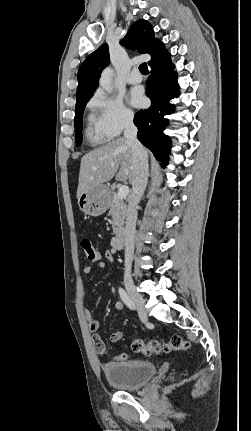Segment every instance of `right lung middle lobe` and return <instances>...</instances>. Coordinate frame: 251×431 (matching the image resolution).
I'll return each mask as SVG.
<instances>
[{
  "label": "right lung middle lobe",
  "mask_w": 251,
  "mask_h": 431,
  "mask_svg": "<svg viewBox=\"0 0 251 431\" xmlns=\"http://www.w3.org/2000/svg\"><path fill=\"white\" fill-rule=\"evenodd\" d=\"M91 97L92 95H88L85 97L78 98L76 100L74 125H75V136H76L77 146H79L82 143V137H81L82 119H83L82 116H83L84 108Z\"/></svg>",
  "instance_id": "obj_1"
}]
</instances>
